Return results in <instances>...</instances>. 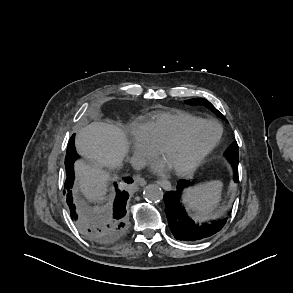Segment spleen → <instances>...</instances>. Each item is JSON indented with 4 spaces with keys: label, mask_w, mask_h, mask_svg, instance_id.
I'll list each match as a JSON object with an SVG mask.
<instances>
[{
    "label": "spleen",
    "mask_w": 293,
    "mask_h": 293,
    "mask_svg": "<svg viewBox=\"0 0 293 293\" xmlns=\"http://www.w3.org/2000/svg\"><path fill=\"white\" fill-rule=\"evenodd\" d=\"M222 189L223 183L219 180L200 183L185 189L183 199L189 209L206 217L217 208L221 200Z\"/></svg>",
    "instance_id": "obj_1"
}]
</instances>
